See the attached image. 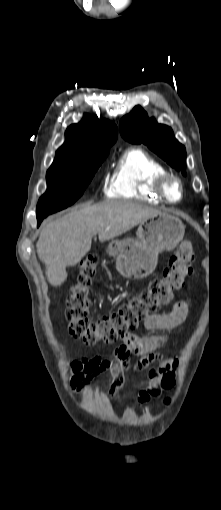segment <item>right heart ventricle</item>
Segmentation results:
<instances>
[{"instance_id": "1", "label": "right heart ventricle", "mask_w": 221, "mask_h": 510, "mask_svg": "<svg viewBox=\"0 0 221 510\" xmlns=\"http://www.w3.org/2000/svg\"><path fill=\"white\" fill-rule=\"evenodd\" d=\"M165 172V166L148 152L141 148L127 149L111 174L107 196L160 203L153 186L156 178Z\"/></svg>"}]
</instances>
